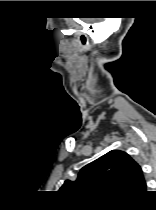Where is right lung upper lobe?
Wrapping results in <instances>:
<instances>
[{
  "mask_svg": "<svg viewBox=\"0 0 156 210\" xmlns=\"http://www.w3.org/2000/svg\"><path fill=\"white\" fill-rule=\"evenodd\" d=\"M60 191L91 202H131L146 192V182L131 156L112 150L84 166L76 181L66 180Z\"/></svg>",
  "mask_w": 156,
  "mask_h": 210,
  "instance_id": "right-lung-upper-lobe-1",
  "label": "right lung upper lobe"
}]
</instances>
